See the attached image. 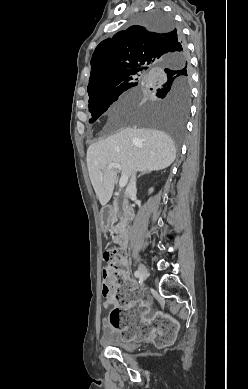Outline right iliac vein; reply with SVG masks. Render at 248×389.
Wrapping results in <instances>:
<instances>
[{
    "instance_id": "right-iliac-vein-1",
    "label": "right iliac vein",
    "mask_w": 248,
    "mask_h": 389,
    "mask_svg": "<svg viewBox=\"0 0 248 389\" xmlns=\"http://www.w3.org/2000/svg\"><path fill=\"white\" fill-rule=\"evenodd\" d=\"M138 271H139L142 279L145 280L148 277V270H147L145 265L140 264L138 267Z\"/></svg>"
}]
</instances>
